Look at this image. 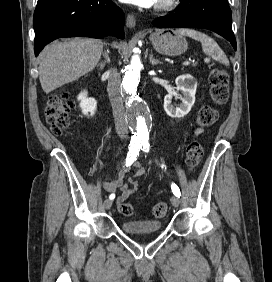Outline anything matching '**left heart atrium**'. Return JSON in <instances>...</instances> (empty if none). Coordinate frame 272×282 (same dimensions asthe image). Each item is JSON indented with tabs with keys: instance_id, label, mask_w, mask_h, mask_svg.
Returning <instances> with one entry per match:
<instances>
[{
	"instance_id": "39dd6f15",
	"label": "left heart atrium",
	"mask_w": 272,
	"mask_h": 282,
	"mask_svg": "<svg viewBox=\"0 0 272 282\" xmlns=\"http://www.w3.org/2000/svg\"><path fill=\"white\" fill-rule=\"evenodd\" d=\"M124 1L126 3H130V4H134V5H138L141 7H150L155 5L158 0H121Z\"/></svg>"
}]
</instances>
